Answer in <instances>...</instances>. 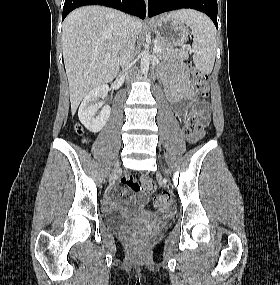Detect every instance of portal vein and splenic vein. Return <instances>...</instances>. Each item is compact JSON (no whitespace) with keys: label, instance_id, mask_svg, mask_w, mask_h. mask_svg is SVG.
I'll return each instance as SVG.
<instances>
[{"label":"portal vein and splenic vein","instance_id":"18ae733b","mask_svg":"<svg viewBox=\"0 0 280 285\" xmlns=\"http://www.w3.org/2000/svg\"><path fill=\"white\" fill-rule=\"evenodd\" d=\"M154 53H158L160 51V47L159 46H155L153 49ZM109 55H106V59H109Z\"/></svg>","mask_w":280,"mask_h":285}]
</instances>
